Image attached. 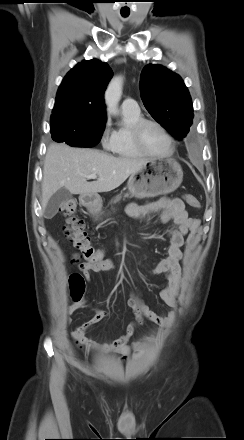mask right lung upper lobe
I'll return each mask as SVG.
<instances>
[{
  "mask_svg": "<svg viewBox=\"0 0 244 440\" xmlns=\"http://www.w3.org/2000/svg\"><path fill=\"white\" fill-rule=\"evenodd\" d=\"M112 76L108 64L96 59L76 65L58 89L51 121L106 122L104 91Z\"/></svg>",
  "mask_w": 244,
  "mask_h": 440,
  "instance_id": "cb5924a9",
  "label": "right lung upper lobe"
}]
</instances>
